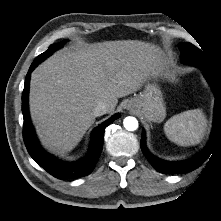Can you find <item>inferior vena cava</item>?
Returning <instances> with one entry per match:
<instances>
[{
	"instance_id": "obj_1",
	"label": "inferior vena cava",
	"mask_w": 221,
	"mask_h": 221,
	"mask_svg": "<svg viewBox=\"0 0 221 221\" xmlns=\"http://www.w3.org/2000/svg\"><path fill=\"white\" fill-rule=\"evenodd\" d=\"M109 112V105L107 103H104V102H100L95 108H94V111H93V114L95 117L97 116H102L106 113Z\"/></svg>"
}]
</instances>
